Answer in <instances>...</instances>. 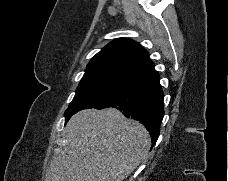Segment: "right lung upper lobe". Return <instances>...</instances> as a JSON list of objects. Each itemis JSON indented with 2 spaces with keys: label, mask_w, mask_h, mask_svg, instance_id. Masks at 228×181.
Masks as SVG:
<instances>
[{
  "label": "right lung upper lobe",
  "mask_w": 228,
  "mask_h": 181,
  "mask_svg": "<svg viewBox=\"0 0 228 181\" xmlns=\"http://www.w3.org/2000/svg\"><path fill=\"white\" fill-rule=\"evenodd\" d=\"M153 68L148 52L139 43L120 38L92 58L83 77L109 76L133 80Z\"/></svg>",
  "instance_id": "right-lung-upper-lobe-1"
}]
</instances>
